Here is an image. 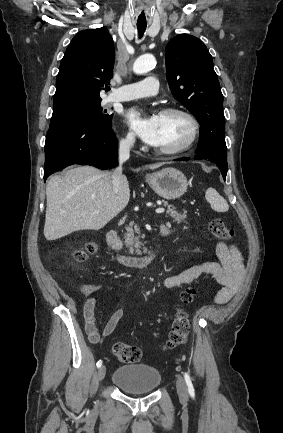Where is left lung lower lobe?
<instances>
[{
    "label": "left lung lower lobe",
    "instance_id": "0a47b994",
    "mask_svg": "<svg viewBox=\"0 0 283 433\" xmlns=\"http://www.w3.org/2000/svg\"><path fill=\"white\" fill-rule=\"evenodd\" d=\"M197 159H209L215 163L225 180L228 170L227 147L225 134L212 127V130L200 132L199 146L196 150ZM189 158H179L176 161H188Z\"/></svg>",
    "mask_w": 283,
    "mask_h": 433
}]
</instances>
